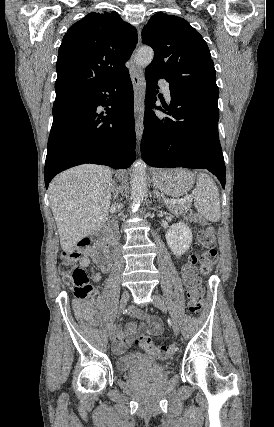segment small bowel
<instances>
[{"instance_id": "small-bowel-1", "label": "small bowel", "mask_w": 274, "mask_h": 427, "mask_svg": "<svg viewBox=\"0 0 274 427\" xmlns=\"http://www.w3.org/2000/svg\"><path fill=\"white\" fill-rule=\"evenodd\" d=\"M210 256L216 257L219 255V250L209 251ZM93 261L97 266V272L93 275V281L99 282L102 274L108 273L111 268V258L107 249H104L98 243L85 248L83 256L79 260V266L85 268ZM205 270H214L216 263L214 261H205L203 263ZM202 276H208V271H202ZM73 308L75 315L86 320L88 323L93 322L95 318V310L93 306L86 301H74ZM142 319L141 324L137 325L134 322H129L124 331H116L113 336V347L117 353L124 352L130 347L139 335H153L157 336L163 331V323L158 316L144 315L142 313L135 314Z\"/></svg>"}]
</instances>
